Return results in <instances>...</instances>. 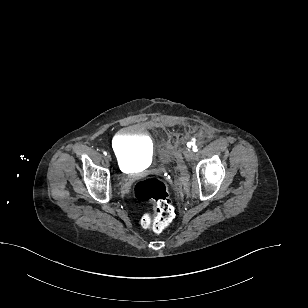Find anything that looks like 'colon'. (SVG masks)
Returning <instances> with one entry per match:
<instances>
[{
	"label": "colon",
	"instance_id": "obj_1",
	"mask_svg": "<svg viewBox=\"0 0 308 308\" xmlns=\"http://www.w3.org/2000/svg\"><path fill=\"white\" fill-rule=\"evenodd\" d=\"M133 195L140 203H152L153 213H146L141 219L144 228L154 232L165 229L175 216L167 185L157 178H145L136 182Z\"/></svg>",
	"mask_w": 308,
	"mask_h": 308
}]
</instances>
